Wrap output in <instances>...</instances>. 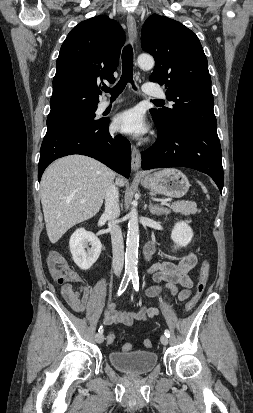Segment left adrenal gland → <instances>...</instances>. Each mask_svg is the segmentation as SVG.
Returning a JSON list of instances; mask_svg holds the SVG:
<instances>
[{"mask_svg": "<svg viewBox=\"0 0 253 413\" xmlns=\"http://www.w3.org/2000/svg\"><path fill=\"white\" fill-rule=\"evenodd\" d=\"M149 210L150 213L153 215H161V214H168L167 208H164L163 206H159L158 204L154 205L151 201L149 203Z\"/></svg>", "mask_w": 253, "mask_h": 413, "instance_id": "a2214340", "label": "left adrenal gland"}]
</instances>
